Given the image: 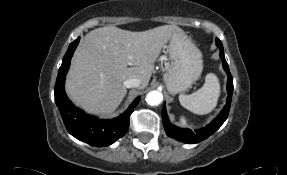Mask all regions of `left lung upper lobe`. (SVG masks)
<instances>
[{
	"label": "left lung upper lobe",
	"mask_w": 287,
	"mask_h": 175,
	"mask_svg": "<svg viewBox=\"0 0 287 175\" xmlns=\"http://www.w3.org/2000/svg\"><path fill=\"white\" fill-rule=\"evenodd\" d=\"M216 44H217L218 46H222V43H221V41H220L219 39H216Z\"/></svg>",
	"instance_id": "obj_1"
}]
</instances>
